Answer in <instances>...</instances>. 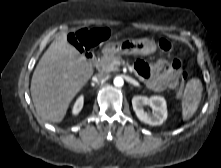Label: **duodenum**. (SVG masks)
Returning a JSON list of instances; mask_svg holds the SVG:
<instances>
[{
    "mask_svg": "<svg viewBox=\"0 0 221 168\" xmlns=\"http://www.w3.org/2000/svg\"><path fill=\"white\" fill-rule=\"evenodd\" d=\"M85 59L87 61V63L90 65V66H96L97 65V57L92 54V53H86L85 54Z\"/></svg>",
    "mask_w": 221,
    "mask_h": 168,
    "instance_id": "obj_1",
    "label": "duodenum"
}]
</instances>
